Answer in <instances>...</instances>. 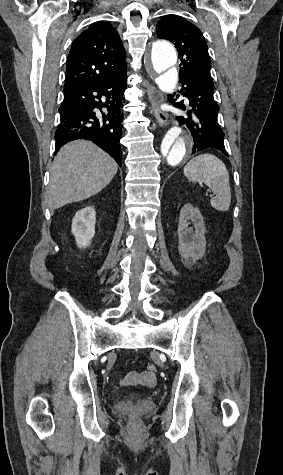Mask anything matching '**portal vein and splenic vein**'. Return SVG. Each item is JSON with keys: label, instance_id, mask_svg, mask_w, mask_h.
Returning <instances> with one entry per match:
<instances>
[{"label": "portal vein and splenic vein", "instance_id": "1", "mask_svg": "<svg viewBox=\"0 0 283 475\" xmlns=\"http://www.w3.org/2000/svg\"><path fill=\"white\" fill-rule=\"evenodd\" d=\"M204 193H205V195H206L207 198H210V197H211V194H210L211 192H210V190L207 189V190H205Z\"/></svg>", "mask_w": 283, "mask_h": 475}]
</instances>
